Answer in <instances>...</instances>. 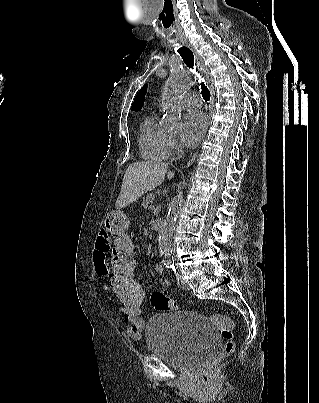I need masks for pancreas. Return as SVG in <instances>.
I'll return each mask as SVG.
<instances>
[{"label":"pancreas","mask_w":319,"mask_h":403,"mask_svg":"<svg viewBox=\"0 0 319 403\" xmlns=\"http://www.w3.org/2000/svg\"><path fill=\"white\" fill-rule=\"evenodd\" d=\"M154 199H155V194L154 193H149V194H147L146 196L143 197L142 205L145 208H150V206L152 205Z\"/></svg>","instance_id":"1"}]
</instances>
